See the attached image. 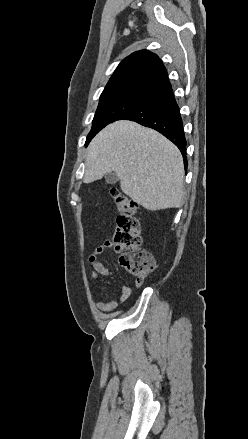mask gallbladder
<instances>
[{
	"label": "gallbladder",
	"mask_w": 248,
	"mask_h": 439,
	"mask_svg": "<svg viewBox=\"0 0 248 439\" xmlns=\"http://www.w3.org/2000/svg\"><path fill=\"white\" fill-rule=\"evenodd\" d=\"M118 179V176L114 172L107 173L105 176V180L108 184H115Z\"/></svg>",
	"instance_id": "1"
}]
</instances>
